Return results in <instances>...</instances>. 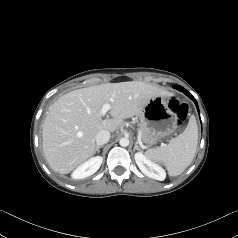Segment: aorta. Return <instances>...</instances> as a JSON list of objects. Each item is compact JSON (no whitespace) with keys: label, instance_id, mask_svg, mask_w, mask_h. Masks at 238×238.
Returning a JSON list of instances; mask_svg holds the SVG:
<instances>
[{"label":"aorta","instance_id":"obj_1","mask_svg":"<svg viewBox=\"0 0 238 238\" xmlns=\"http://www.w3.org/2000/svg\"><path fill=\"white\" fill-rule=\"evenodd\" d=\"M120 146L127 147L129 145V139L128 138H121L119 141Z\"/></svg>","mask_w":238,"mask_h":238}]
</instances>
